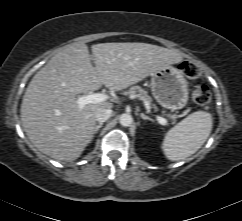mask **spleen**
<instances>
[{
	"instance_id": "obj_1",
	"label": "spleen",
	"mask_w": 242,
	"mask_h": 221,
	"mask_svg": "<svg viewBox=\"0 0 242 221\" xmlns=\"http://www.w3.org/2000/svg\"><path fill=\"white\" fill-rule=\"evenodd\" d=\"M212 130V116L196 111L172 127L165 135L162 149L171 161L184 160L197 152Z\"/></svg>"
}]
</instances>
